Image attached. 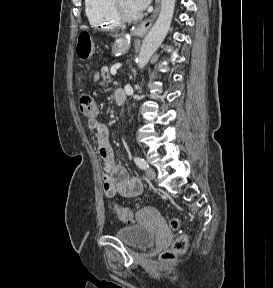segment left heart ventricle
<instances>
[{
  "label": "left heart ventricle",
  "mask_w": 273,
  "mask_h": 288,
  "mask_svg": "<svg viewBox=\"0 0 273 288\" xmlns=\"http://www.w3.org/2000/svg\"><path fill=\"white\" fill-rule=\"evenodd\" d=\"M119 5L128 15H137L138 12L131 6L129 0H119Z\"/></svg>",
  "instance_id": "1"
}]
</instances>
